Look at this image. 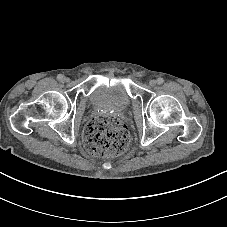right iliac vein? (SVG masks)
<instances>
[{"mask_svg": "<svg viewBox=\"0 0 227 227\" xmlns=\"http://www.w3.org/2000/svg\"><path fill=\"white\" fill-rule=\"evenodd\" d=\"M63 81H64V82H68V78H64Z\"/></svg>", "mask_w": 227, "mask_h": 227, "instance_id": "right-iliac-vein-1", "label": "right iliac vein"}]
</instances>
